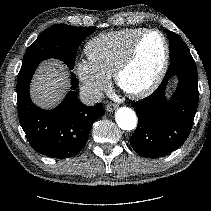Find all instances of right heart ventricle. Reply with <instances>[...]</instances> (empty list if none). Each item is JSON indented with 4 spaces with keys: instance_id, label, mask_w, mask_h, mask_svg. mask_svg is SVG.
I'll return each instance as SVG.
<instances>
[{
    "instance_id": "1",
    "label": "right heart ventricle",
    "mask_w": 211,
    "mask_h": 211,
    "mask_svg": "<svg viewBox=\"0 0 211 211\" xmlns=\"http://www.w3.org/2000/svg\"><path fill=\"white\" fill-rule=\"evenodd\" d=\"M145 28H128L92 38L85 47L88 60L108 78L113 76L135 38Z\"/></svg>"
}]
</instances>
